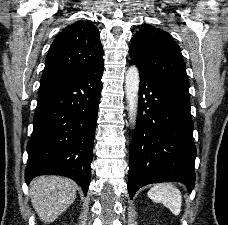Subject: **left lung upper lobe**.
<instances>
[{"label":"left lung upper lobe","instance_id":"1","mask_svg":"<svg viewBox=\"0 0 228 225\" xmlns=\"http://www.w3.org/2000/svg\"><path fill=\"white\" fill-rule=\"evenodd\" d=\"M129 54L140 74L153 81L189 89L179 46L162 29L145 26L133 36Z\"/></svg>","mask_w":228,"mask_h":225}]
</instances>
